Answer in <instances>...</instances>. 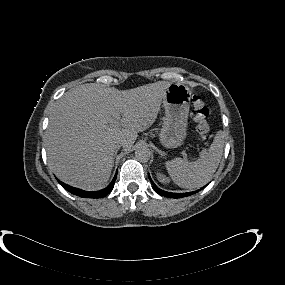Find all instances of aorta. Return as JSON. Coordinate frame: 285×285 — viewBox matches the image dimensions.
I'll return each instance as SVG.
<instances>
[{
	"label": "aorta",
	"instance_id": "obj_1",
	"mask_svg": "<svg viewBox=\"0 0 285 285\" xmlns=\"http://www.w3.org/2000/svg\"><path fill=\"white\" fill-rule=\"evenodd\" d=\"M151 157V151L148 147L146 146H139L136 150H135V158L138 161L141 162H147L149 161Z\"/></svg>",
	"mask_w": 285,
	"mask_h": 285
}]
</instances>
